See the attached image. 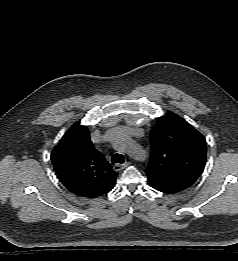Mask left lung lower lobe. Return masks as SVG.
I'll return each instance as SVG.
<instances>
[{
	"mask_svg": "<svg viewBox=\"0 0 238 261\" xmlns=\"http://www.w3.org/2000/svg\"><path fill=\"white\" fill-rule=\"evenodd\" d=\"M154 188V187H153ZM156 190H158V191H161V192H163V193H170V192H168V191H165V190H160V189H157V188H155Z\"/></svg>",
	"mask_w": 238,
	"mask_h": 261,
	"instance_id": "0a47b994",
	"label": "left lung lower lobe"
}]
</instances>
